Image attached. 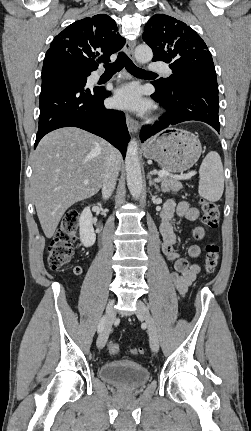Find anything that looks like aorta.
Segmentation results:
<instances>
[{
	"label": "aorta",
	"mask_w": 251,
	"mask_h": 431,
	"mask_svg": "<svg viewBox=\"0 0 251 431\" xmlns=\"http://www.w3.org/2000/svg\"><path fill=\"white\" fill-rule=\"evenodd\" d=\"M153 52L147 45H139L135 49V58L140 63L151 61ZM126 179L129 191L132 197L136 200L140 198L142 193L143 181L141 167L138 156V142L136 139H131L125 157Z\"/></svg>",
	"instance_id": "1"
}]
</instances>
